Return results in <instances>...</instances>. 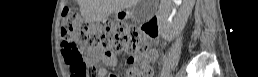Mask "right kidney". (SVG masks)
<instances>
[{
  "mask_svg": "<svg viewBox=\"0 0 258 77\" xmlns=\"http://www.w3.org/2000/svg\"><path fill=\"white\" fill-rule=\"evenodd\" d=\"M194 1L195 0H190L189 1L190 5L188 7H186V9L184 10L183 20L179 24H177L175 26L174 33L178 34V32L184 27V24L187 21V18H188L189 14L192 11V7H193V4H194ZM172 2L179 3V2H182V0H174ZM172 2H171V4H172ZM171 4L167 5V4L163 3V2H161L160 7L165 9V11L163 13H161V18H163V19H167L168 18L169 8H170Z\"/></svg>",
  "mask_w": 258,
  "mask_h": 77,
  "instance_id": "1",
  "label": "right kidney"
}]
</instances>
